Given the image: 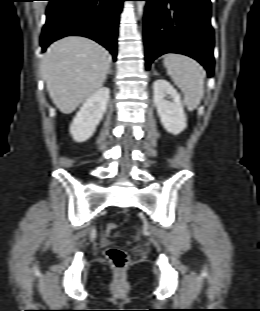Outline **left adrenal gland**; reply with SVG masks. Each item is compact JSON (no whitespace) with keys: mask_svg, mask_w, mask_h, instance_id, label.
<instances>
[{"mask_svg":"<svg viewBox=\"0 0 260 311\" xmlns=\"http://www.w3.org/2000/svg\"><path fill=\"white\" fill-rule=\"evenodd\" d=\"M154 75H157V72H156V71H154Z\"/></svg>","mask_w":260,"mask_h":311,"instance_id":"1","label":"left adrenal gland"}]
</instances>
